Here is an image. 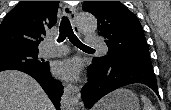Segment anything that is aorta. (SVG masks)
Returning a JSON list of instances; mask_svg holds the SVG:
<instances>
[{
	"label": "aorta",
	"mask_w": 171,
	"mask_h": 110,
	"mask_svg": "<svg viewBox=\"0 0 171 110\" xmlns=\"http://www.w3.org/2000/svg\"><path fill=\"white\" fill-rule=\"evenodd\" d=\"M77 26L81 33L92 34L97 30V19L88 13H80L77 17Z\"/></svg>",
	"instance_id": "762f6f07"
}]
</instances>
